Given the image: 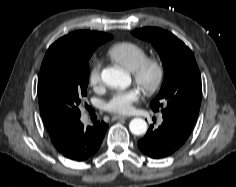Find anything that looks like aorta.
<instances>
[{
	"label": "aorta",
	"instance_id": "762f6f07",
	"mask_svg": "<svg viewBox=\"0 0 236 187\" xmlns=\"http://www.w3.org/2000/svg\"><path fill=\"white\" fill-rule=\"evenodd\" d=\"M102 81L113 88H127L131 83L130 76L119 69L108 67L102 70ZM129 129L134 135H142L147 131V123L142 118H134L129 124Z\"/></svg>",
	"mask_w": 236,
	"mask_h": 187
}]
</instances>
